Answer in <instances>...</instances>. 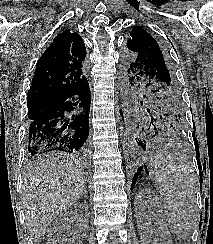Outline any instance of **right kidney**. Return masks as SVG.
<instances>
[{
    "label": "right kidney",
    "mask_w": 213,
    "mask_h": 244,
    "mask_svg": "<svg viewBox=\"0 0 213 244\" xmlns=\"http://www.w3.org/2000/svg\"><path fill=\"white\" fill-rule=\"evenodd\" d=\"M81 209L85 212L81 213ZM88 206L86 203H81V204H75L73 209H70L64 213V216H75L77 218L78 225L81 226L82 228L87 227L88 223Z\"/></svg>",
    "instance_id": "ca27d5eb"
}]
</instances>
